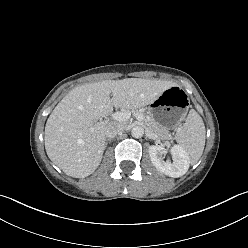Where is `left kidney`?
Here are the masks:
<instances>
[{"label": "left kidney", "mask_w": 248, "mask_h": 248, "mask_svg": "<svg viewBox=\"0 0 248 248\" xmlns=\"http://www.w3.org/2000/svg\"><path fill=\"white\" fill-rule=\"evenodd\" d=\"M173 162L164 161L163 155L166 149L161 145H151L149 147V156L156 169L167 176L178 178L183 176L189 168V156L187 152L179 145H174L170 149Z\"/></svg>", "instance_id": "left-kidney-1"}]
</instances>
